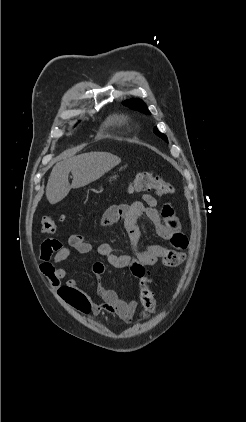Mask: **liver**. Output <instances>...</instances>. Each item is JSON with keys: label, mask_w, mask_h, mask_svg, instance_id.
<instances>
[{"label": "liver", "mask_w": 246, "mask_h": 422, "mask_svg": "<svg viewBox=\"0 0 246 422\" xmlns=\"http://www.w3.org/2000/svg\"><path fill=\"white\" fill-rule=\"evenodd\" d=\"M120 162L119 157L105 152L85 153L58 162L53 167L46 186L47 200L50 204L60 202L72 188H80L96 181ZM70 172L73 176L71 185L68 181Z\"/></svg>", "instance_id": "6515ba94"}]
</instances>
